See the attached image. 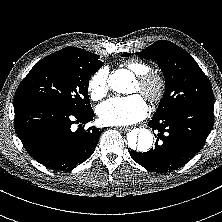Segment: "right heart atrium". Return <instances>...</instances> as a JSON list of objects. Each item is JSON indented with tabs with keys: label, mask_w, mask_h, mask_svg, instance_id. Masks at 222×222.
<instances>
[{
	"label": "right heart atrium",
	"mask_w": 222,
	"mask_h": 222,
	"mask_svg": "<svg viewBox=\"0 0 222 222\" xmlns=\"http://www.w3.org/2000/svg\"><path fill=\"white\" fill-rule=\"evenodd\" d=\"M109 91V72L106 68L99 69L88 82V92L92 100L104 98Z\"/></svg>",
	"instance_id": "d8ad5b80"
}]
</instances>
